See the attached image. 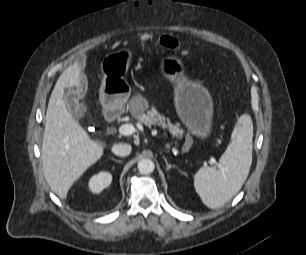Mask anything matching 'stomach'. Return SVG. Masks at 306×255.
Masks as SVG:
<instances>
[{"instance_id": "1", "label": "stomach", "mask_w": 306, "mask_h": 255, "mask_svg": "<svg viewBox=\"0 0 306 255\" xmlns=\"http://www.w3.org/2000/svg\"><path fill=\"white\" fill-rule=\"evenodd\" d=\"M132 51L121 49L108 54L101 63L104 78L99 99L104 111H111L127 102L131 88L124 79L128 71ZM161 73L168 85L175 89L176 110L187 126L189 133L205 138L211 130L212 102L205 89L189 80V73L178 59H167L161 66ZM191 138L188 137V144Z\"/></svg>"}]
</instances>
